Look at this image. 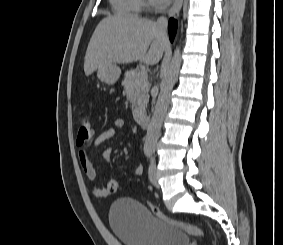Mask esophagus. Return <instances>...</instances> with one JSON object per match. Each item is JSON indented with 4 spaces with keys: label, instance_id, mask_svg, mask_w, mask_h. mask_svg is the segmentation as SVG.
I'll use <instances>...</instances> for the list:
<instances>
[{
    "label": "esophagus",
    "instance_id": "1",
    "mask_svg": "<svg viewBox=\"0 0 283 245\" xmlns=\"http://www.w3.org/2000/svg\"><path fill=\"white\" fill-rule=\"evenodd\" d=\"M182 4L183 0H175L169 10V17H176L181 10Z\"/></svg>",
    "mask_w": 283,
    "mask_h": 245
}]
</instances>
